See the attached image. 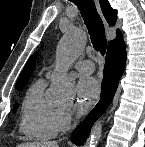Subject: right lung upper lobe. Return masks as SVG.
<instances>
[{
    "label": "right lung upper lobe",
    "instance_id": "right-lung-upper-lobe-1",
    "mask_svg": "<svg viewBox=\"0 0 145 147\" xmlns=\"http://www.w3.org/2000/svg\"><path fill=\"white\" fill-rule=\"evenodd\" d=\"M100 5H101L102 12H103L107 22L112 26L115 25L116 19H117V15H116L115 10H113L111 8L109 2L106 0H100ZM116 34H117V36H119V35H121V32L119 30H117ZM35 56H36V54H34L29 59L24 70L22 71V73L16 83L17 89H22L24 87V85L26 84V82L28 81L30 74L32 73L34 66H35Z\"/></svg>",
    "mask_w": 145,
    "mask_h": 147
}]
</instances>
